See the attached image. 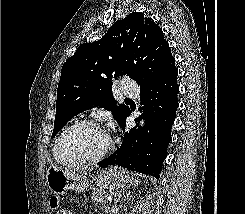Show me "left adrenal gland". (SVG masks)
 I'll return each mask as SVG.
<instances>
[{
	"label": "left adrenal gland",
	"instance_id": "obj_1",
	"mask_svg": "<svg viewBox=\"0 0 245 214\" xmlns=\"http://www.w3.org/2000/svg\"><path fill=\"white\" fill-rule=\"evenodd\" d=\"M127 189H128V188H126V189H124V190H122V191H120V192L118 193V196H117V198H116L115 201H114L115 204H117V203L119 202V200L121 199L122 195L127 191Z\"/></svg>",
	"mask_w": 245,
	"mask_h": 214
}]
</instances>
